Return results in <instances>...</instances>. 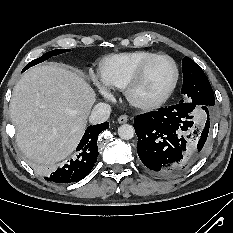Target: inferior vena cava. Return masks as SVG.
Masks as SVG:
<instances>
[{
  "instance_id": "obj_1",
  "label": "inferior vena cava",
  "mask_w": 233,
  "mask_h": 233,
  "mask_svg": "<svg viewBox=\"0 0 233 233\" xmlns=\"http://www.w3.org/2000/svg\"><path fill=\"white\" fill-rule=\"evenodd\" d=\"M111 112V106L107 103H97L90 115H89V122L91 124H100L108 120L109 115Z\"/></svg>"
}]
</instances>
